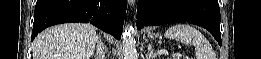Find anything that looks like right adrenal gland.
<instances>
[{"label": "right adrenal gland", "instance_id": "1", "mask_svg": "<svg viewBox=\"0 0 261 59\" xmlns=\"http://www.w3.org/2000/svg\"><path fill=\"white\" fill-rule=\"evenodd\" d=\"M96 59H104L105 57V51H104V45L103 43L99 40L97 41V45H96Z\"/></svg>", "mask_w": 261, "mask_h": 59}]
</instances>
